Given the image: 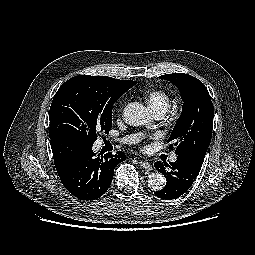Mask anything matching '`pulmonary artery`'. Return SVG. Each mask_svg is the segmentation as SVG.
<instances>
[{"label":"pulmonary artery","instance_id":"pulmonary-artery-1","mask_svg":"<svg viewBox=\"0 0 255 255\" xmlns=\"http://www.w3.org/2000/svg\"><path fill=\"white\" fill-rule=\"evenodd\" d=\"M165 112H156L155 113V116L158 118V119H161L163 116H164ZM122 143H132L133 141H135V138L132 137V136H129V137H124L120 140H118ZM171 162H175L177 160V156L176 155H172L171 158H170Z\"/></svg>","mask_w":255,"mask_h":255}]
</instances>
